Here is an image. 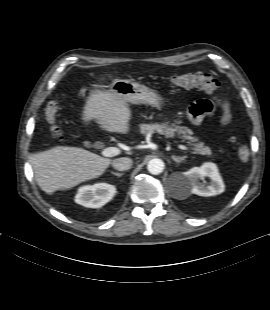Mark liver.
<instances>
[{"label":"liver","mask_w":270,"mask_h":310,"mask_svg":"<svg viewBox=\"0 0 270 310\" xmlns=\"http://www.w3.org/2000/svg\"><path fill=\"white\" fill-rule=\"evenodd\" d=\"M81 119L86 124L95 120L108 132L127 134L131 110L123 98L96 86L89 92ZM114 160L70 146H55L30 156L35 180L48 195L101 176Z\"/></svg>","instance_id":"6515ba94"}]
</instances>
